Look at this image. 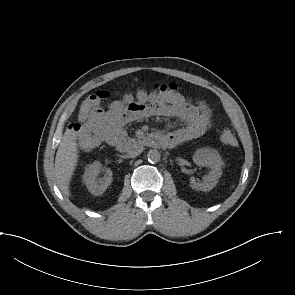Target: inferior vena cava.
I'll return each instance as SVG.
<instances>
[{"instance_id": "1", "label": "inferior vena cava", "mask_w": 295, "mask_h": 295, "mask_svg": "<svg viewBox=\"0 0 295 295\" xmlns=\"http://www.w3.org/2000/svg\"><path fill=\"white\" fill-rule=\"evenodd\" d=\"M142 151H143V147L136 145V146L129 149L128 156L131 158H134V157L138 156L139 154H141Z\"/></svg>"}]
</instances>
